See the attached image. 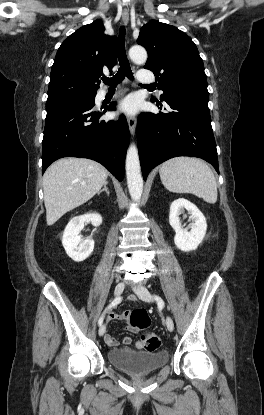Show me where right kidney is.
Instances as JSON below:
<instances>
[{"instance_id": "obj_1", "label": "right kidney", "mask_w": 264, "mask_h": 415, "mask_svg": "<svg viewBox=\"0 0 264 415\" xmlns=\"http://www.w3.org/2000/svg\"><path fill=\"white\" fill-rule=\"evenodd\" d=\"M85 221H90L93 226L98 227L102 224V217L97 213L76 216L67 224L62 237V245L67 255L75 262L87 259L94 249V240L91 237L82 239L79 235Z\"/></svg>"}]
</instances>
